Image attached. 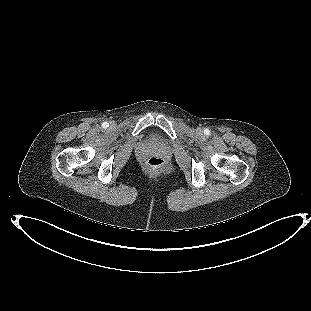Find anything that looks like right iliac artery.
Returning a JSON list of instances; mask_svg holds the SVG:
<instances>
[{
	"label": "right iliac artery",
	"instance_id": "1",
	"mask_svg": "<svg viewBox=\"0 0 311 311\" xmlns=\"http://www.w3.org/2000/svg\"><path fill=\"white\" fill-rule=\"evenodd\" d=\"M109 126V124L107 122H103L102 127L103 128H107Z\"/></svg>",
	"mask_w": 311,
	"mask_h": 311
}]
</instances>
